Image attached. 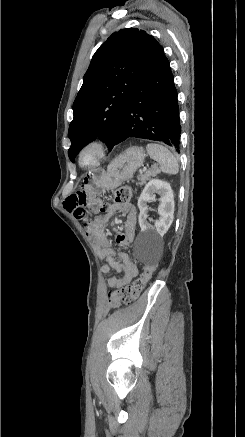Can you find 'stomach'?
Returning a JSON list of instances; mask_svg holds the SVG:
<instances>
[{"mask_svg":"<svg viewBox=\"0 0 245 437\" xmlns=\"http://www.w3.org/2000/svg\"><path fill=\"white\" fill-rule=\"evenodd\" d=\"M145 151L142 147L132 146L115 158L106 172L90 171L84 183L96 190L115 189L133 177L134 172L143 165Z\"/></svg>","mask_w":245,"mask_h":437,"instance_id":"stomach-1","label":"stomach"}]
</instances>
